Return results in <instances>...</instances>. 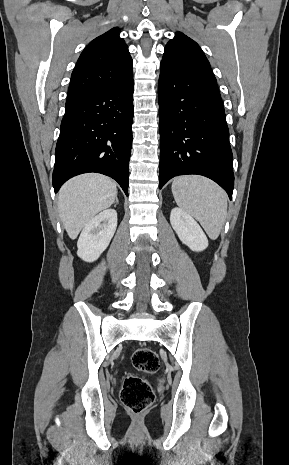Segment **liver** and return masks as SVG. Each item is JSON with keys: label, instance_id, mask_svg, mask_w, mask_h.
Returning a JSON list of instances; mask_svg holds the SVG:
<instances>
[{"label": "liver", "instance_id": "obj_1", "mask_svg": "<svg viewBox=\"0 0 289 465\" xmlns=\"http://www.w3.org/2000/svg\"><path fill=\"white\" fill-rule=\"evenodd\" d=\"M116 198V183L104 175L84 174L65 183L58 194V210L68 236L77 238L82 228Z\"/></svg>", "mask_w": 289, "mask_h": 465}]
</instances>
